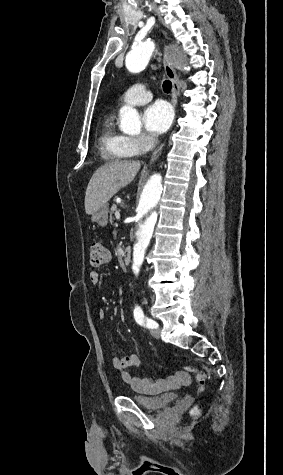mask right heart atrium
Instances as JSON below:
<instances>
[{
    "instance_id": "1",
    "label": "right heart atrium",
    "mask_w": 283,
    "mask_h": 475,
    "mask_svg": "<svg viewBox=\"0 0 283 475\" xmlns=\"http://www.w3.org/2000/svg\"><path fill=\"white\" fill-rule=\"evenodd\" d=\"M155 145V140L147 135L125 138L124 147L129 156L141 157Z\"/></svg>"
}]
</instances>
